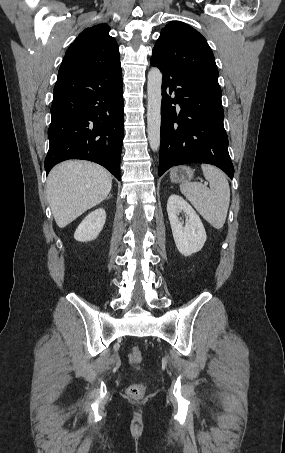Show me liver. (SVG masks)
Wrapping results in <instances>:
<instances>
[{
  "instance_id": "obj_1",
  "label": "liver",
  "mask_w": 285,
  "mask_h": 453,
  "mask_svg": "<svg viewBox=\"0 0 285 453\" xmlns=\"http://www.w3.org/2000/svg\"><path fill=\"white\" fill-rule=\"evenodd\" d=\"M111 187V174L98 164L69 160L55 166L47 178V197L56 224H70L106 199Z\"/></svg>"
}]
</instances>
